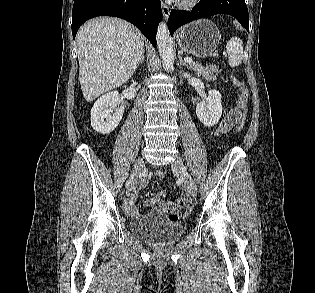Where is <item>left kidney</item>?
Returning <instances> with one entry per match:
<instances>
[{
    "instance_id": "1",
    "label": "left kidney",
    "mask_w": 315,
    "mask_h": 293,
    "mask_svg": "<svg viewBox=\"0 0 315 293\" xmlns=\"http://www.w3.org/2000/svg\"><path fill=\"white\" fill-rule=\"evenodd\" d=\"M222 110L221 94L216 90H211L207 99L197 104L196 114L205 126L212 127L220 120Z\"/></svg>"
}]
</instances>
